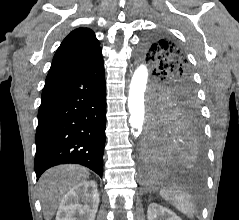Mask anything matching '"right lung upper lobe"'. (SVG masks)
Wrapping results in <instances>:
<instances>
[{"instance_id":"right-lung-upper-lobe-1","label":"right lung upper lobe","mask_w":239,"mask_h":220,"mask_svg":"<svg viewBox=\"0 0 239 220\" xmlns=\"http://www.w3.org/2000/svg\"><path fill=\"white\" fill-rule=\"evenodd\" d=\"M102 60L101 48L94 32L88 28L76 29L57 49L45 83L75 75Z\"/></svg>"}]
</instances>
